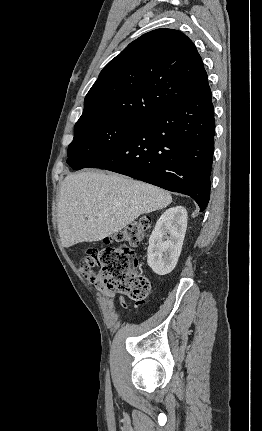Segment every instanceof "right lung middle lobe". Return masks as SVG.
I'll list each match as a JSON object with an SVG mask.
<instances>
[{
    "instance_id": "right-lung-middle-lobe-1",
    "label": "right lung middle lobe",
    "mask_w": 262,
    "mask_h": 431,
    "mask_svg": "<svg viewBox=\"0 0 262 431\" xmlns=\"http://www.w3.org/2000/svg\"><path fill=\"white\" fill-rule=\"evenodd\" d=\"M140 121L124 119L76 124L67 163L75 170L89 166L126 138Z\"/></svg>"
}]
</instances>
